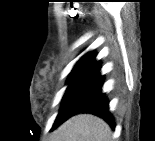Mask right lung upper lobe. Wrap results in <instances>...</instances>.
I'll return each instance as SVG.
<instances>
[{
	"instance_id": "1",
	"label": "right lung upper lobe",
	"mask_w": 155,
	"mask_h": 141,
	"mask_svg": "<svg viewBox=\"0 0 155 141\" xmlns=\"http://www.w3.org/2000/svg\"><path fill=\"white\" fill-rule=\"evenodd\" d=\"M101 64L95 61V53L90 52L84 55L74 66L72 72H93L100 70Z\"/></svg>"
}]
</instances>
